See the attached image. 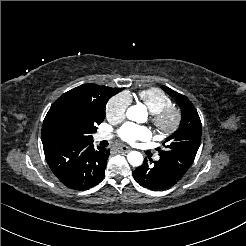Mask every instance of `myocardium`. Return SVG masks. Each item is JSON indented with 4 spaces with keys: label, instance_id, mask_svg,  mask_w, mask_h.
Returning a JSON list of instances; mask_svg holds the SVG:
<instances>
[{
    "label": "myocardium",
    "instance_id": "obj_1",
    "mask_svg": "<svg viewBox=\"0 0 246 246\" xmlns=\"http://www.w3.org/2000/svg\"><path fill=\"white\" fill-rule=\"evenodd\" d=\"M181 118V112L175 106H169L157 113H151L152 124L164 136H169L178 129Z\"/></svg>",
    "mask_w": 246,
    "mask_h": 246
}]
</instances>
